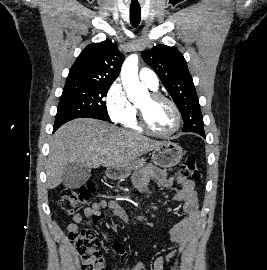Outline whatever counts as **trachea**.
Here are the masks:
<instances>
[{
  "label": "trachea",
  "mask_w": 267,
  "mask_h": 270,
  "mask_svg": "<svg viewBox=\"0 0 267 270\" xmlns=\"http://www.w3.org/2000/svg\"><path fill=\"white\" fill-rule=\"evenodd\" d=\"M141 19L140 7H130V23L133 27H137Z\"/></svg>",
  "instance_id": "obj_1"
}]
</instances>
